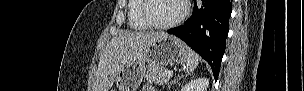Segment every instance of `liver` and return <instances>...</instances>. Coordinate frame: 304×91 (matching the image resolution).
Returning a JSON list of instances; mask_svg holds the SVG:
<instances>
[{
	"label": "liver",
	"mask_w": 304,
	"mask_h": 91,
	"mask_svg": "<svg viewBox=\"0 0 304 91\" xmlns=\"http://www.w3.org/2000/svg\"><path fill=\"white\" fill-rule=\"evenodd\" d=\"M168 36L164 32H131L116 34L103 49L95 76L93 91H109L120 68L130 59L141 55L158 38Z\"/></svg>",
	"instance_id": "liver-1"
}]
</instances>
